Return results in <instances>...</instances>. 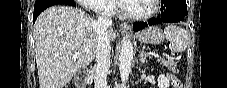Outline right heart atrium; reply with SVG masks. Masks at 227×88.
<instances>
[{"label": "right heart atrium", "instance_id": "1", "mask_svg": "<svg viewBox=\"0 0 227 88\" xmlns=\"http://www.w3.org/2000/svg\"><path fill=\"white\" fill-rule=\"evenodd\" d=\"M78 3L97 15H108L112 10L110 0H78Z\"/></svg>", "mask_w": 227, "mask_h": 88}]
</instances>
